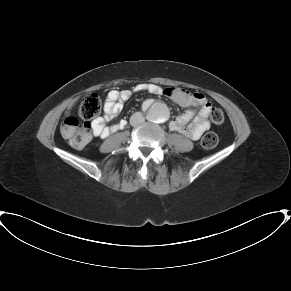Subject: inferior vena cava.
I'll return each mask as SVG.
<instances>
[{
  "label": "inferior vena cava",
  "mask_w": 291,
  "mask_h": 291,
  "mask_svg": "<svg viewBox=\"0 0 291 291\" xmlns=\"http://www.w3.org/2000/svg\"><path fill=\"white\" fill-rule=\"evenodd\" d=\"M144 121H145V118H144V116L142 115L141 112H135L130 117V124L133 127L138 126L139 124L143 123Z\"/></svg>",
  "instance_id": "inferior-vena-cava-1"
}]
</instances>
